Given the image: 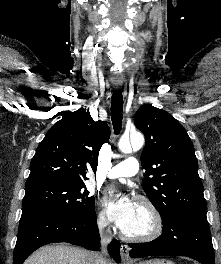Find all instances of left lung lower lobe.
<instances>
[{
	"instance_id": "1",
	"label": "left lung lower lobe",
	"mask_w": 221,
	"mask_h": 264,
	"mask_svg": "<svg viewBox=\"0 0 221 264\" xmlns=\"http://www.w3.org/2000/svg\"><path fill=\"white\" fill-rule=\"evenodd\" d=\"M162 221V234L157 239L129 244L130 257L179 255L201 264H214L215 255L206 215H171Z\"/></svg>"
}]
</instances>
